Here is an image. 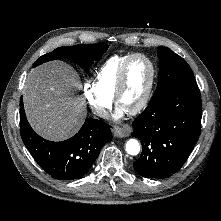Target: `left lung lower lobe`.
<instances>
[{
	"instance_id": "1",
	"label": "left lung lower lobe",
	"mask_w": 221,
	"mask_h": 221,
	"mask_svg": "<svg viewBox=\"0 0 221 221\" xmlns=\"http://www.w3.org/2000/svg\"><path fill=\"white\" fill-rule=\"evenodd\" d=\"M201 95L196 82L182 84L164 96L151 99L134 120L132 136L142 152L133 163L146 178H167L189 157L201 131Z\"/></svg>"
}]
</instances>
